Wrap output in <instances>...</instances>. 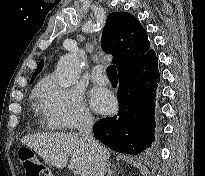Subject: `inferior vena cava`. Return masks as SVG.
I'll use <instances>...</instances> for the list:
<instances>
[{"instance_id":"obj_1","label":"inferior vena cava","mask_w":205,"mask_h":176,"mask_svg":"<svg viewBox=\"0 0 205 176\" xmlns=\"http://www.w3.org/2000/svg\"><path fill=\"white\" fill-rule=\"evenodd\" d=\"M92 126V117L84 116L79 126L80 139L89 147L93 156V171L91 176H104L106 158L102 147L93 137Z\"/></svg>"}]
</instances>
